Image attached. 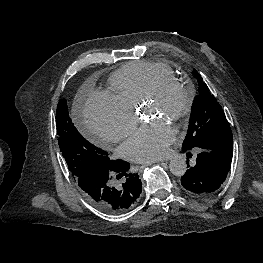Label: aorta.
Masks as SVG:
<instances>
[{"instance_id": "obj_1", "label": "aorta", "mask_w": 263, "mask_h": 263, "mask_svg": "<svg viewBox=\"0 0 263 263\" xmlns=\"http://www.w3.org/2000/svg\"><path fill=\"white\" fill-rule=\"evenodd\" d=\"M170 172L175 176H183L187 170V163L184 158H174L169 164Z\"/></svg>"}]
</instances>
